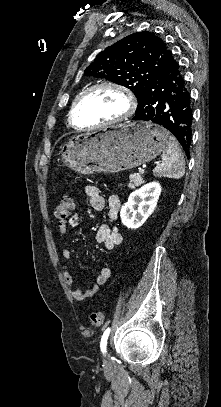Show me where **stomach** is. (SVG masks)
<instances>
[{
	"instance_id": "1",
	"label": "stomach",
	"mask_w": 221,
	"mask_h": 407,
	"mask_svg": "<svg viewBox=\"0 0 221 407\" xmlns=\"http://www.w3.org/2000/svg\"><path fill=\"white\" fill-rule=\"evenodd\" d=\"M168 132L150 122L132 121L70 137L60 146L63 164L81 174L118 173L156 158Z\"/></svg>"
}]
</instances>
